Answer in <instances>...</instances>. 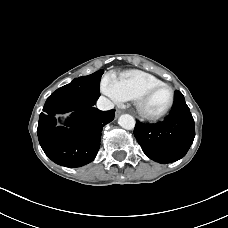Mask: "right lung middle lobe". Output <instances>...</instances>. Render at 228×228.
<instances>
[{
    "mask_svg": "<svg viewBox=\"0 0 228 228\" xmlns=\"http://www.w3.org/2000/svg\"><path fill=\"white\" fill-rule=\"evenodd\" d=\"M103 70L75 78L70 84L57 89L51 96H59L74 100L80 104L92 106L100 96L99 84Z\"/></svg>",
    "mask_w": 228,
    "mask_h": 228,
    "instance_id": "dd1d6c3e",
    "label": "right lung middle lobe"
}]
</instances>
